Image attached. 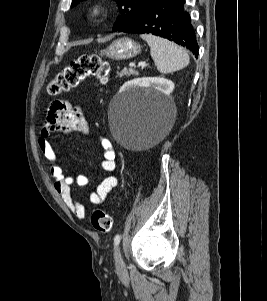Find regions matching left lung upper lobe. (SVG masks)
<instances>
[{
  "instance_id": "1",
  "label": "left lung upper lobe",
  "mask_w": 267,
  "mask_h": 301,
  "mask_svg": "<svg viewBox=\"0 0 267 301\" xmlns=\"http://www.w3.org/2000/svg\"><path fill=\"white\" fill-rule=\"evenodd\" d=\"M83 0H73L71 6H75ZM120 8L121 15L117 17L113 31H117L125 24L131 22L151 0H114Z\"/></svg>"
}]
</instances>
